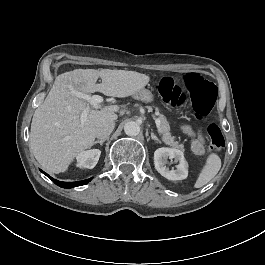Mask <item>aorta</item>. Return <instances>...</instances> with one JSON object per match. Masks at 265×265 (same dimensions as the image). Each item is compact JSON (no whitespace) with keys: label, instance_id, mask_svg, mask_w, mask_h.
Returning <instances> with one entry per match:
<instances>
[{"label":"aorta","instance_id":"aorta-1","mask_svg":"<svg viewBox=\"0 0 265 265\" xmlns=\"http://www.w3.org/2000/svg\"><path fill=\"white\" fill-rule=\"evenodd\" d=\"M124 132L128 136H137L140 133V125L136 122H127L124 125Z\"/></svg>","mask_w":265,"mask_h":265}]
</instances>
